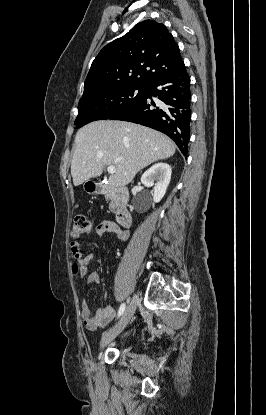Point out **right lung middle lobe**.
<instances>
[{"label":"right lung middle lobe","mask_w":266,"mask_h":415,"mask_svg":"<svg viewBox=\"0 0 266 415\" xmlns=\"http://www.w3.org/2000/svg\"><path fill=\"white\" fill-rule=\"evenodd\" d=\"M147 93V87L121 86L80 99L75 125L80 128L90 122L110 119L138 104Z\"/></svg>","instance_id":"right-lung-middle-lobe-1"}]
</instances>
